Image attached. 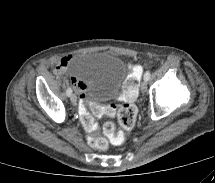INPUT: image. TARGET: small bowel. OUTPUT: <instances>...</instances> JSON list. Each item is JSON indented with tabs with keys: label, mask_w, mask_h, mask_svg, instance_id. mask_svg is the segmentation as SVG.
Here are the masks:
<instances>
[{
	"label": "small bowel",
	"mask_w": 215,
	"mask_h": 183,
	"mask_svg": "<svg viewBox=\"0 0 215 183\" xmlns=\"http://www.w3.org/2000/svg\"><path fill=\"white\" fill-rule=\"evenodd\" d=\"M72 58H73V56H71V55L61 58L57 62L56 66L54 68V72L61 73V72L65 71L66 68L69 66ZM131 71H132V74L134 77L140 78L142 75V72H143V68L140 65H132ZM71 81H72L74 88L80 93L81 97L85 96V91H86L85 82L76 77H73Z\"/></svg>",
	"instance_id": "c3829d8e"
}]
</instances>
